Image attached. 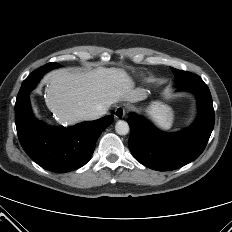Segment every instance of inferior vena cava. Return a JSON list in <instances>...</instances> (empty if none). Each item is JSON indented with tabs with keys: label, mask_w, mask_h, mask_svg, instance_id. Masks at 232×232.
I'll use <instances>...</instances> for the list:
<instances>
[{
	"label": "inferior vena cava",
	"mask_w": 232,
	"mask_h": 232,
	"mask_svg": "<svg viewBox=\"0 0 232 232\" xmlns=\"http://www.w3.org/2000/svg\"><path fill=\"white\" fill-rule=\"evenodd\" d=\"M107 109L106 108H99L94 111H90L85 115V118L87 120H95L106 114Z\"/></svg>",
	"instance_id": "inferior-vena-cava-1"
}]
</instances>
